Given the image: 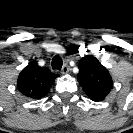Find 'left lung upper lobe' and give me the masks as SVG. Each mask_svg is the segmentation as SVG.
<instances>
[{
  "label": "left lung upper lobe",
  "instance_id": "obj_1",
  "mask_svg": "<svg viewBox=\"0 0 133 133\" xmlns=\"http://www.w3.org/2000/svg\"><path fill=\"white\" fill-rule=\"evenodd\" d=\"M78 82L93 101H102L110 92L113 81L109 71L92 55L79 62Z\"/></svg>",
  "mask_w": 133,
  "mask_h": 133
}]
</instances>
